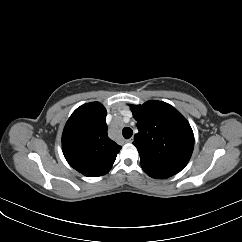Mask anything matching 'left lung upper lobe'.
Returning a JSON list of instances; mask_svg holds the SVG:
<instances>
[{"instance_id":"1","label":"left lung upper lobe","mask_w":242,"mask_h":242,"mask_svg":"<svg viewBox=\"0 0 242 242\" xmlns=\"http://www.w3.org/2000/svg\"><path fill=\"white\" fill-rule=\"evenodd\" d=\"M139 132L133 144L140 153L141 166L150 177L165 179L180 172L194 148L188 121L170 104L150 100L129 105Z\"/></svg>"}]
</instances>
